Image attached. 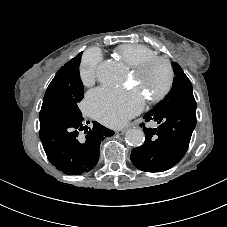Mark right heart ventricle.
Returning a JSON list of instances; mask_svg holds the SVG:
<instances>
[{"label": "right heart ventricle", "mask_w": 227, "mask_h": 227, "mask_svg": "<svg viewBox=\"0 0 227 227\" xmlns=\"http://www.w3.org/2000/svg\"><path fill=\"white\" fill-rule=\"evenodd\" d=\"M115 54L130 67L155 56L153 50L140 44H123L115 49Z\"/></svg>", "instance_id": "right-heart-ventricle-1"}]
</instances>
